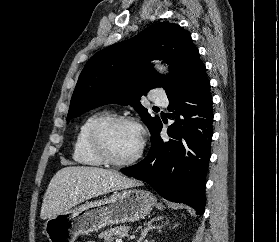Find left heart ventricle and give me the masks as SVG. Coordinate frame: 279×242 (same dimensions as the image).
Segmentation results:
<instances>
[{
  "mask_svg": "<svg viewBox=\"0 0 279 242\" xmlns=\"http://www.w3.org/2000/svg\"><path fill=\"white\" fill-rule=\"evenodd\" d=\"M106 143L112 156L119 160L130 158L138 149L139 133L130 124H116L106 132Z\"/></svg>",
  "mask_w": 279,
  "mask_h": 242,
  "instance_id": "b2bd125f",
  "label": "left heart ventricle"
}]
</instances>
